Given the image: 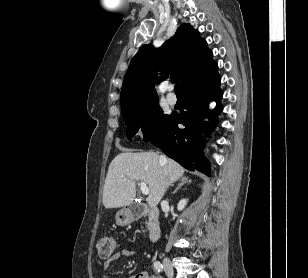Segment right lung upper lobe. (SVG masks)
I'll return each instance as SVG.
<instances>
[{"mask_svg": "<svg viewBox=\"0 0 308 278\" xmlns=\"http://www.w3.org/2000/svg\"><path fill=\"white\" fill-rule=\"evenodd\" d=\"M212 56L206 41L186 23L159 50L151 45L142 46L133 57L124 78L120 97L122 115L158 103L154 83L160 80L155 77L156 71L181 81L185 92L217 73L218 66Z\"/></svg>", "mask_w": 308, "mask_h": 278, "instance_id": "obj_1", "label": "right lung upper lobe"}]
</instances>
